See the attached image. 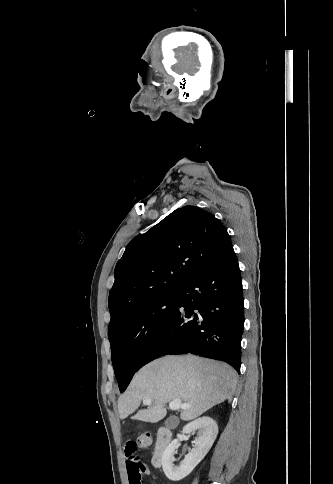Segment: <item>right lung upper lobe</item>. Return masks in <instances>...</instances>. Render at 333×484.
<instances>
[{"mask_svg": "<svg viewBox=\"0 0 333 484\" xmlns=\"http://www.w3.org/2000/svg\"><path fill=\"white\" fill-rule=\"evenodd\" d=\"M230 246L212 214L190 205L176 209L126 247L109 294L110 324L152 298L179 292Z\"/></svg>", "mask_w": 333, "mask_h": 484, "instance_id": "cb5924a9", "label": "right lung upper lobe"}]
</instances>
